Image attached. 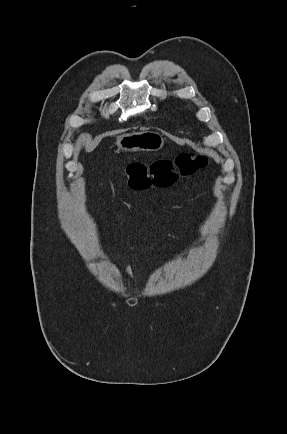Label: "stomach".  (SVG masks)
Here are the masks:
<instances>
[{"label": "stomach", "mask_w": 287, "mask_h": 434, "mask_svg": "<svg viewBox=\"0 0 287 434\" xmlns=\"http://www.w3.org/2000/svg\"><path fill=\"white\" fill-rule=\"evenodd\" d=\"M164 138L154 131L134 132L116 137L115 144L123 151H158L164 146Z\"/></svg>", "instance_id": "obj_1"}]
</instances>
